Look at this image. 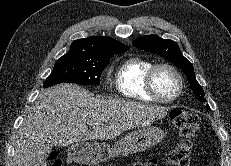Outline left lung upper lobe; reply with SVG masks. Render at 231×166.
<instances>
[{
	"mask_svg": "<svg viewBox=\"0 0 231 166\" xmlns=\"http://www.w3.org/2000/svg\"><path fill=\"white\" fill-rule=\"evenodd\" d=\"M132 44L139 50L152 52L172 61L177 67L182 69L187 76V80L191 85L196 99L205 102V94L201 85L196 80L193 65L182 55L176 42L169 39H162L157 35H146L135 39Z\"/></svg>",
	"mask_w": 231,
	"mask_h": 166,
	"instance_id": "obj_1",
	"label": "left lung upper lobe"
}]
</instances>
